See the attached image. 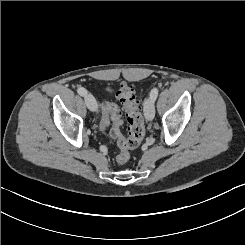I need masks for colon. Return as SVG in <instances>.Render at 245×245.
<instances>
[{
	"mask_svg": "<svg viewBox=\"0 0 245 245\" xmlns=\"http://www.w3.org/2000/svg\"><path fill=\"white\" fill-rule=\"evenodd\" d=\"M116 97L120 101L128 122V135L124 137L120 132L122 125L121 112L119 108L111 102H106L102 106L101 129L105 130L109 126V137L120 149L116 157L118 164H124L129 160V150L137 148L144 139L145 125L142 109L136 99L135 89L128 83H122Z\"/></svg>",
	"mask_w": 245,
	"mask_h": 245,
	"instance_id": "1",
	"label": "colon"
}]
</instances>
